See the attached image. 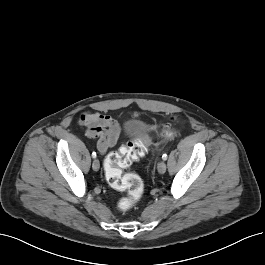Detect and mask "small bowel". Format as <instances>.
Here are the masks:
<instances>
[{"label": "small bowel", "instance_id": "small-bowel-1", "mask_svg": "<svg viewBox=\"0 0 265 265\" xmlns=\"http://www.w3.org/2000/svg\"><path fill=\"white\" fill-rule=\"evenodd\" d=\"M78 124L85 127L88 137L98 138L97 149L102 154L118 142L120 126L117 119L109 114L85 112L80 116Z\"/></svg>", "mask_w": 265, "mask_h": 265}]
</instances>
